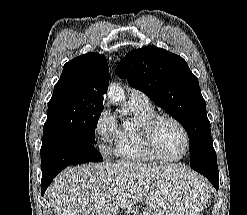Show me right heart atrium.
Returning <instances> with one entry per match:
<instances>
[{"label":"right heart atrium","instance_id":"obj_1","mask_svg":"<svg viewBox=\"0 0 247 215\" xmlns=\"http://www.w3.org/2000/svg\"><path fill=\"white\" fill-rule=\"evenodd\" d=\"M94 133L102 154L110 155L113 152V144L118 138L119 127L115 117L106 107L102 108L96 117Z\"/></svg>","mask_w":247,"mask_h":215}]
</instances>
